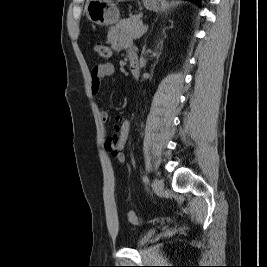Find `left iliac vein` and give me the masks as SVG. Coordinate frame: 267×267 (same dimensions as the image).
Segmentation results:
<instances>
[{"instance_id": "left-iliac-vein-1", "label": "left iliac vein", "mask_w": 267, "mask_h": 267, "mask_svg": "<svg viewBox=\"0 0 267 267\" xmlns=\"http://www.w3.org/2000/svg\"><path fill=\"white\" fill-rule=\"evenodd\" d=\"M153 184L157 192H161L164 189V182L162 179L155 178Z\"/></svg>"}]
</instances>
